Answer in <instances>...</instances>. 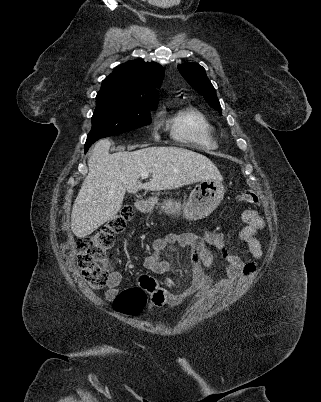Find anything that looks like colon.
I'll list each match as a JSON object with an SVG mask.
<instances>
[{
	"mask_svg": "<svg viewBox=\"0 0 321 402\" xmlns=\"http://www.w3.org/2000/svg\"><path fill=\"white\" fill-rule=\"evenodd\" d=\"M239 199L248 204H260L259 197L253 192H244L240 194ZM133 215L132 208L124 207L96 232L78 238L77 262L83 279L91 289L101 290L106 286L110 274L104 262L106 252L113 246L115 237L124 231ZM146 303L147 294L144 289L134 286L125 289L116 297L115 308L123 315L138 316Z\"/></svg>",
	"mask_w": 321,
	"mask_h": 402,
	"instance_id": "1",
	"label": "colon"
}]
</instances>
